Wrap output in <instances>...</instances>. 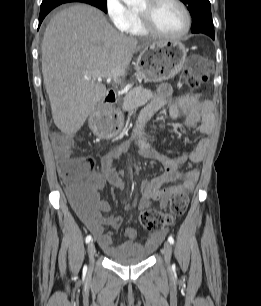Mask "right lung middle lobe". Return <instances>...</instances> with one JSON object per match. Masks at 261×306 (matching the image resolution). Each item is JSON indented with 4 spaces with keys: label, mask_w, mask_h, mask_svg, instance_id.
I'll return each instance as SVG.
<instances>
[{
    "label": "right lung middle lobe",
    "mask_w": 261,
    "mask_h": 306,
    "mask_svg": "<svg viewBox=\"0 0 261 306\" xmlns=\"http://www.w3.org/2000/svg\"><path fill=\"white\" fill-rule=\"evenodd\" d=\"M69 1L64 0H43L41 4V8L52 6V5H60L62 3H67ZM84 3L91 4L95 7H98L99 9L103 10L105 13H107V0H83Z\"/></svg>",
    "instance_id": "1"
}]
</instances>
